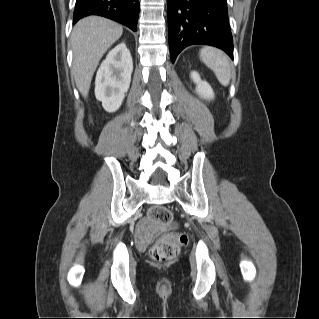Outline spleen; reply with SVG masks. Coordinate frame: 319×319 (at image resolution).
Returning a JSON list of instances; mask_svg holds the SVG:
<instances>
[{"instance_id":"obj_1","label":"spleen","mask_w":319,"mask_h":319,"mask_svg":"<svg viewBox=\"0 0 319 319\" xmlns=\"http://www.w3.org/2000/svg\"><path fill=\"white\" fill-rule=\"evenodd\" d=\"M200 58L215 73L218 81L227 86L231 79L230 63L224 53L212 47L200 51Z\"/></svg>"}]
</instances>
